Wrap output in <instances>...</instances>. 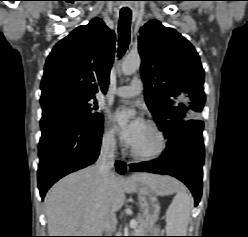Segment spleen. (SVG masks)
I'll list each match as a JSON object with an SVG mask.
<instances>
[{"instance_id":"3e777b00","label":"spleen","mask_w":248,"mask_h":237,"mask_svg":"<svg viewBox=\"0 0 248 237\" xmlns=\"http://www.w3.org/2000/svg\"><path fill=\"white\" fill-rule=\"evenodd\" d=\"M176 195L166 212L167 236H186L193 201L183 186L177 185Z\"/></svg>"}]
</instances>
